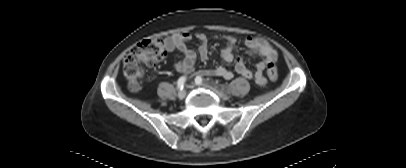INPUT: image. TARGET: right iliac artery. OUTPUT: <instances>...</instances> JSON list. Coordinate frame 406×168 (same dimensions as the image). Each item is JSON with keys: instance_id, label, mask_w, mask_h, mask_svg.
I'll return each mask as SVG.
<instances>
[{"instance_id": "obj_1", "label": "right iliac artery", "mask_w": 406, "mask_h": 168, "mask_svg": "<svg viewBox=\"0 0 406 168\" xmlns=\"http://www.w3.org/2000/svg\"><path fill=\"white\" fill-rule=\"evenodd\" d=\"M186 82V77L185 76H181L178 81H177V87L182 90L184 88V84Z\"/></svg>"}]
</instances>
